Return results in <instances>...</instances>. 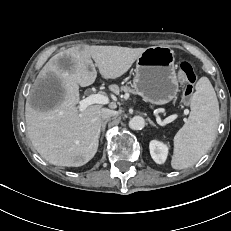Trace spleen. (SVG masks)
<instances>
[{"label": "spleen", "mask_w": 231, "mask_h": 231, "mask_svg": "<svg viewBox=\"0 0 231 231\" xmlns=\"http://www.w3.org/2000/svg\"><path fill=\"white\" fill-rule=\"evenodd\" d=\"M188 120L174 137L173 169L193 166L212 145L219 123V103L207 77L196 83Z\"/></svg>", "instance_id": "3e777b00"}]
</instances>
